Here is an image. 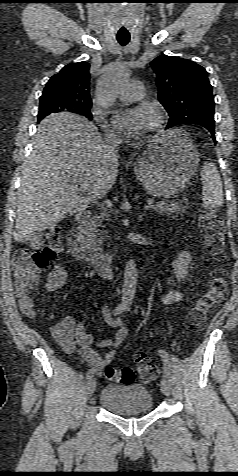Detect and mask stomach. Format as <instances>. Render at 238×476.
<instances>
[{
  "mask_svg": "<svg viewBox=\"0 0 238 476\" xmlns=\"http://www.w3.org/2000/svg\"><path fill=\"white\" fill-rule=\"evenodd\" d=\"M199 161V153L187 134L170 130L150 141L134 165V172L152 195L170 198L187 186Z\"/></svg>",
  "mask_w": 238,
  "mask_h": 476,
  "instance_id": "stomach-1",
  "label": "stomach"
}]
</instances>
